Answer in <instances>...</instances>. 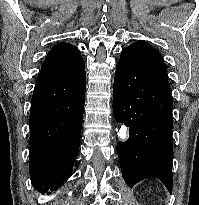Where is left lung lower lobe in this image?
Wrapping results in <instances>:
<instances>
[{"label": "left lung lower lobe", "instance_id": "obj_1", "mask_svg": "<svg viewBox=\"0 0 199 205\" xmlns=\"http://www.w3.org/2000/svg\"><path fill=\"white\" fill-rule=\"evenodd\" d=\"M172 108L167 69L158 50L143 40L125 48L116 66L113 111L130 131L129 139L117 145L129 187L155 177L172 192Z\"/></svg>", "mask_w": 199, "mask_h": 205}]
</instances>
